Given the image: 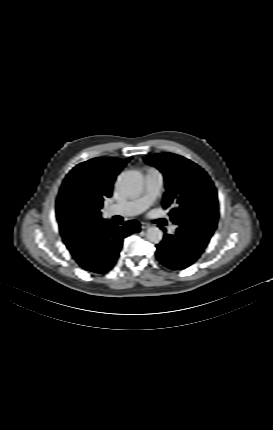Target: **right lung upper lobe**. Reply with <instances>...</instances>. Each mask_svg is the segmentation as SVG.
<instances>
[{
	"instance_id": "obj_1",
	"label": "right lung upper lobe",
	"mask_w": 273,
	"mask_h": 430,
	"mask_svg": "<svg viewBox=\"0 0 273 430\" xmlns=\"http://www.w3.org/2000/svg\"><path fill=\"white\" fill-rule=\"evenodd\" d=\"M130 159L93 158L74 167L65 177L57 198L56 213L63 241L72 255L85 248V241L90 236L92 227L105 220L101 218L99 209L104 199L112 195L116 176ZM76 196L86 199L98 210V214L83 227L73 229L65 226L62 208Z\"/></svg>"
}]
</instances>
